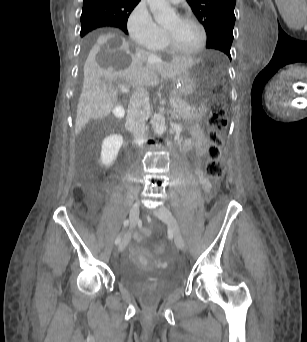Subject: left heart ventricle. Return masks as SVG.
I'll use <instances>...</instances> for the list:
<instances>
[{"label": "left heart ventricle", "mask_w": 307, "mask_h": 342, "mask_svg": "<svg viewBox=\"0 0 307 342\" xmlns=\"http://www.w3.org/2000/svg\"><path fill=\"white\" fill-rule=\"evenodd\" d=\"M170 44L179 50L196 48L202 39V32L194 22H181L178 18L161 29Z\"/></svg>", "instance_id": "1"}]
</instances>
